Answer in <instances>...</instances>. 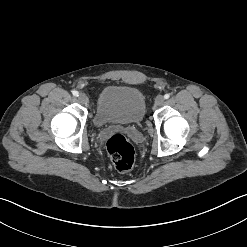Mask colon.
<instances>
[{
    "label": "colon",
    "mask_w": 247,
    "mask_h": 247,
    "mask_svg": "<svg viewBox=\"0 0 247 247\" xmlns=\"http://www.w3.org/2000/svg\"><path fill=\"white\" fill-rule=\"evenodd\" d=\"M106 150L114 167L119 172H126L132 168L135 159V151L132 144L124 135H112L107 140Z\"/></svg>",
    "instance_id": "colon-1"
}]
</instances>
